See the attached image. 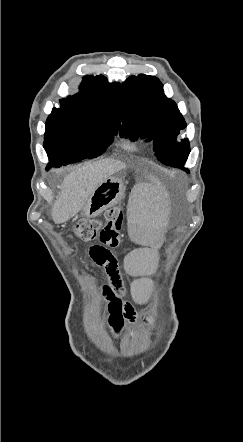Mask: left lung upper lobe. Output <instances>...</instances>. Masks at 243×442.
I'll return each mask as SVG.
<instances>
[{
    "label": "left lung upper lobe",
    "mask_w": 243,
    "mask_h": 442,
    "mask_svg": "<svg viewBox=\"0 0 243 442\" xmlns=\"http://www.w3.org/2000/svg\"><path fill=\"white\" fill-rule=\"evenodd\" d=\"M122 96L120 136L131 140L147 136L159 161L186 170L189 141H177L186 122L176 103L164 95L163 84L153 76H131L122 85Z\"/></svg>",
    "instance_id": "obj_1"
}]
</instances>
